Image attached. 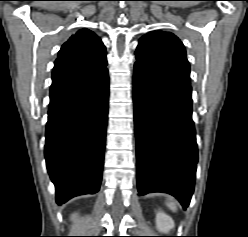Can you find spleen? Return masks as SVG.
<instances>
[{
	"instance_id": "spleen-1",
	"label": "spleen",
	"mask_w": 248,
	"mask_h": 237,
	"mask_svg": "<svg viewBox=\"0 0 248 237\" xmlns=\"http://www.w3.org/2000/svg\"><path fill=\"white\" fill-rule=\"evenodd\" d=\"M167 206L173 211L177 210L176 204L172 201L167 202Z\"/></svg>"
}]
</instances>
